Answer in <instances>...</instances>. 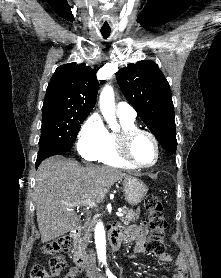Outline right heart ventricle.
I'll return each mask as SVG.
<instances>
[{"label":"right heart ventricle","mask_w":221,"mask_h":278,"mask_svg":"<svg viewBox=\"0 0 221 278\" xmlns=\"http://www.w3.org/2000/svg\"><path fill=\"white\" fill-rule=\"evenodd\" d=\"M122 123L123 130L128 128H135V122L132 120L120 118ZM117 135L116 133H109L106 144L98 157V161L113 167L119 168H133L130 165L126 164L122 159L119 157L117 150H116V142H117Z\"/></svg>","instance_id":"e07e8e85"}]
</instances>
